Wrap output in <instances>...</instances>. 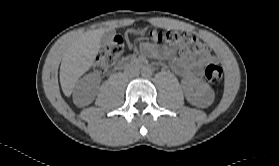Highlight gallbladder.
<instances>
[{"mask_svg":"<svg viewBox=\"0 0 279 166\" xmlns=\"http://www.w3.org/2000/svg\"><path fill=\"white\" fill-rule=\"evenodd\" d=\"M114 35L115 33L112 30L107 31L105 34H103L100 40L101 46L105 47L107 45H111L113 43Z\"/></svg>","mask_w":279,"mask_h":166,"instance_id":"obj_1","label":"gallbladder"}]
</instances>
